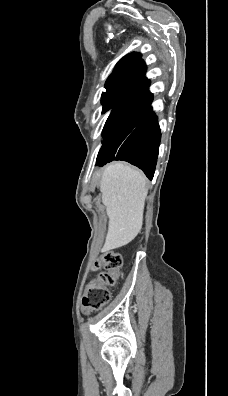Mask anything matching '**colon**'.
Returning a JSON list of instances; mask_svg holds the SVG:
<instances>
[{
    "label": "colon",
    "instance_id": "1",
    "mask_svg": "<svg viewBox=\"0 0 228 396\" xmlns=\"http://www.w3.org/2000/svg\"><path fill=\"white\" fill-rule=\"evenodd\" d=\"M122 265V256L117 252L103 253L96 260L94 269L102 271L88 283L85 289L82 298V308L85 314L99 310L109 302L111 288L116 285L121 275Z\"/></svg>",
    "mask_w": 228,
    "mask_h": 396
}]
</instances>
